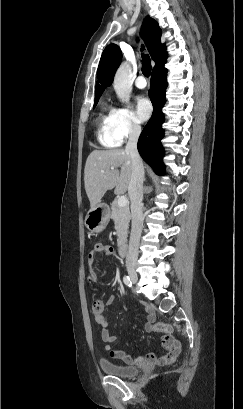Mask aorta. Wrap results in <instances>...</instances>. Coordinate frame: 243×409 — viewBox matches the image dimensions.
Here are the masks:
<instances>
[{
	"label": "aorta",
	"mask_w": 243,
	"mask_h": 409,
	"mask_svg": "<svg viewBox=\"0 0 243 409\" xmlns=\"http://www.w3.org/2000/svg\"><path fill=\"white\" fill-rule=\"evenodd\" d=\"M131 67L127 63H122L118 68L113 85L117 97L123 103H129L132 92Z\"/></svg>",
	"instance_id": "1"
}]
</instances>
